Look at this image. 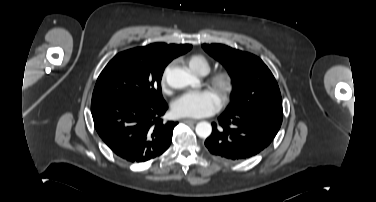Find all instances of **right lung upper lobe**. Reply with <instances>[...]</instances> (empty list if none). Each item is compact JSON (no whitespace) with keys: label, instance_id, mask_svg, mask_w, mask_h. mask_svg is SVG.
<instances>
[{"label":"right lung upper lobe","instance_id":"right-lung-upper-lobe-1","mask_svg":"<svg viewBox=\"0 0 376 202\" xmlns=\"http://www.w3.org/2000/svg\"><path fill=\"white\" fill-rule=\"evenodd\" d=\"M191 45H167L165 43H153L145 47H139L141 54L145 57L150 68L157 70L165 67L172 59L186 53L191 49Z\"/></svg>","mask_w":376,"mask_h":202}]
</instances>
